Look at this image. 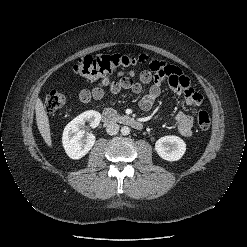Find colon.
I'll return each mask as SVG.
<instances>
[{"mask_svg": "<svg viewBox=\"0 0 247 247\" xmlns=\"http://www.w3.org/2000/svg\"><path fill=\"white\" fill-rule=\"evenodd\" d=\"M148 60L146 54L125 56L120 54L86 56L75 64L74 71L87 80L95 81L116 72H122ZM151 64V63H150ZM150 66V65H149ZM66 103V97L58 90H52L45 98V109L48 113L56 112ZM197 124L200 129L207 130L211 125L208 112L200 111L197 115Z\"/></svg>", "mask_w": 247, "mask_h": 247, "instance_id": "1", "label": "colon"}]
</instances>
